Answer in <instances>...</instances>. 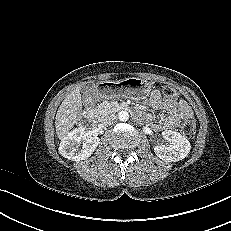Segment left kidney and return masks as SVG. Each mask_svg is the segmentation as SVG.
<instances>
[{
	"instance_id": "left-kidney-1",
	"label": "left kidney",
	"mask_w": 231,
	"mask_h": 231,
	"mask_svg": "<svg viewBox=\"0 0 231 231\" xmlns=\"http://www.w3.org/2000/svg\"><path fill=\"white\" fill-rule=\"evenodd\" d=\"M162 136L168 144H159L154 147L155 154L161 160L176 162L184 159L190 152V142L180 133L173 130H165L162 132Z\"/></svg>"
}]
</instances>
